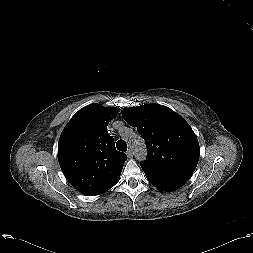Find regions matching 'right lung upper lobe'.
<instances>
[{
    "label": "right lung upper lobe",
    "mask_w": 253,
    "mask_h": 253,
    "mask_svg": "<svg viewBox=\"0 0 253 253\" xmlns=\"http://www.w3.org/2000/svg\"><path fill=\"white\" fill-rule=\"evenodd\" d=\"M117 113L114 107L90 104L79 110L61 133L60 167L70 183L85 195L103 194L119 181L127 156L116 150L107 132L109 121Z\"/></svg>",
    "instance_id": "obj_1"
}]
</instances>
